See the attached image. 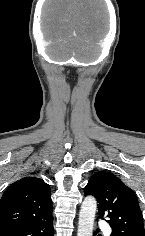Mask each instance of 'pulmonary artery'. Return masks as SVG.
Listing matches in <instances>:
<instances>
[{"mask_svg":"<svg viewBox=\"0 0 145 236\" xmlns=\"http://www.w3.org/2000/svg\"><path fill=\"white\" fill-rule=\"evenodd\" d=\"M103 232L104 234H106L107 236H109L112 232L111 228L108 226H103Z\"/></svg>","mask_w":145,"mask_h":236,"instance_id":"pulmonary-artery-1","label":"pulmonary artery"}]
</instances>
